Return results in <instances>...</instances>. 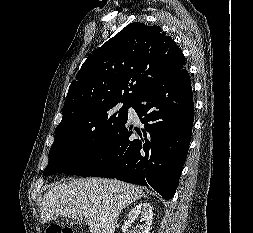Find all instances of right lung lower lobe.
Returning a JSON list of instances; mask_svg holds the SVG:
<instances>
[{
	"label": "right lung lower lobe",
	"instance_id": "1",
	"mask_svg": "<svg viewBox=\"0 0 253 233\" xmlns=\"http://www.w3.org/2000/svg\"><path fill=\"white\" fill-rule=\"evenodd\" d=\"M131 106L142 122L141 128L127 118L104 146L62 172L149 185L170 199L178 186L193 126L188 71L183 67L160 78Z\"/></svg>",
	"mask_w": 253,
	"mask_h": 233
}]
</instances>
